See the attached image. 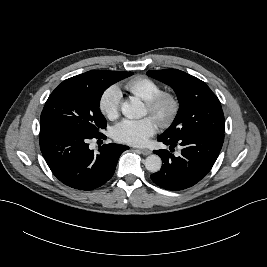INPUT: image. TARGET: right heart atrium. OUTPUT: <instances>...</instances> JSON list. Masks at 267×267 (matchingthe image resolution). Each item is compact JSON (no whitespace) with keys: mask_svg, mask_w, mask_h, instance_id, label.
I'll return each mask as SVG.
<instances>
[{"mask_svg":"<svg viewBox=\"0 0 267 267\" xmlns=\"http://www.w3.org/2000/svg\"><path fill=\"white\" fill-rule=\"evenodd\" d=\"M121 101L120 90L111 86L103 91L99 99V109L108 119H115L119 114Z\"/></svg>","mask_w":267,"mask_h":267,"instance_id":"right-heart-atrium-1","label":"right heart atrium"}]
</instances>
